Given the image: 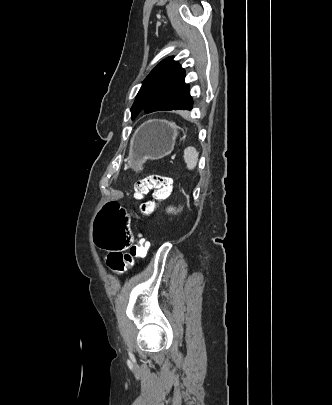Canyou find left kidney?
I'll use <instances>...</instances> for the list:
<instances>
[{"label":"left kidney","instance_id":"obj_1","mask_svg":"<svg viewBox=\"0 0 332 405\" xmlns=\"http://www.w3.org/2000/svg\"><path fill=\"white\" fill-rule=\"evenodd\" d=\"M167 213H176V210L173 207H169L167 208Z\"/></svg>","mask_w":332,"mask_h":405}]
</instances>
